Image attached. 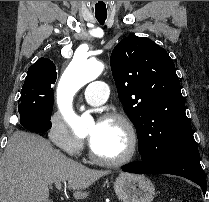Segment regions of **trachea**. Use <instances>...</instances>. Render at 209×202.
I'll return each mask as SVG.
<instances>
[{
  "instance_id": "1",
  "label": "trachea",
  "mask_w": 209,
  "mask_h": 202,
  "mask_svg": "<svg viewBox=\"0 0 209 202\" xmlns=\"http://www.w3.org/2000/svg\"><path fill=\"white\" fill-rule=\"evenodd\" d=\"M96 19L100 24H104L107 18V15H95Z\"/></svg>"
}]
</instances>
